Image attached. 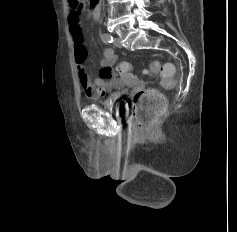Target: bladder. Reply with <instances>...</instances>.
I'll return each instance as SVG.
<instances>
[{
	"label": "bladder",
	"instance_id": "31cf9c89",
	"mask_svg": "<svg viewBox=\"0 0 237 232\" xmlns=\"http://www.w3.org/2000/svg\"><path fill=\"white\" fill-rule=\"evenodd\" d=\"M126 94V91L122 90L120 92L121 99L115 100L113 102L109 101L108 103H104V106L108 109L113 110L117 117L124 118L128 110V101L124 99V96H126Z\"/></svg>",
	"mask_w": 237,
	"mask_h": 232
}]
</instances>
